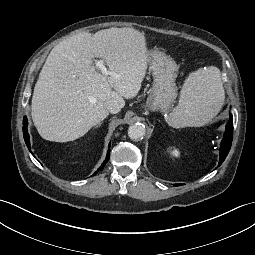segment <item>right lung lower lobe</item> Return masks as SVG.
Instances as JSON below:
<instances>
[{
    "label": "right lung lower lobe",
    "instance_id": "right-lung-lower-lobe-1",
    "mask_svg": "<svg viewBox=\"0 0 255 255\" xmlns=\"http://www.w3.org/2000/svg\"><path fill=\"white\" fill-rule=\"evenodd\" d=\"M27 125H28V122H27V118L24 117L23 119V135H24V140L26 142V145L28 147V149L30 150V142H29V134H28V130H27ZM31 151V150H30ZM109 152H110V149L107 153V157H106V160L103 162V164L100 166V168L98 169L99 170H102L105 166V164L108 162L109 160ZM97 171V172H98Z\"/></svg>",
    "mask_w": 255,
    "mask_h": 255
}]
</instances>
